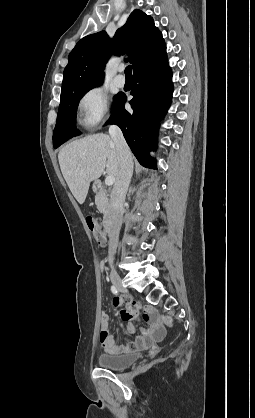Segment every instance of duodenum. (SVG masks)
<instances>
[{
    "label": "duodenum",
    "mask_w": 255,
    "mask_h": 418,
    "mask_svg": "<svg viewBox=\"0 0 255 418\" xmlns=\"http://www.w3.org/2000/svg\"><path fill=\"white\" fill-rule=\"evenodd\" d=\"M93 190L96 194H99V195H106L107 194V190H106L105 186L99 181H96L94 183ZM116 219H117L116 210L113 209V208H109L107 213H106V216L103 220V230H104V232L110 233V232L113 231V229L116 226Z\"/></svg>",
    "instance_id": "obj_1"
}]
</instances>
